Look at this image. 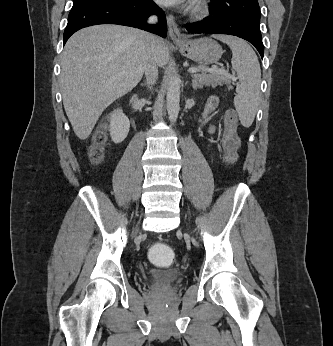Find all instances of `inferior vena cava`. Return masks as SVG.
<instances>
[{"instance_id":"602c4592","label":"inferior vena cava","mask_w":333,"mask_h":346,"mask_svg":"<svg viewBox=\"0 0 333 346\" xmlns=\"http://www.w3.org/2000/svg\"><path fill=\"white\" fill-rule=\"evenodd\" d=\"M149 23H156L157 22V18L155 16H151L148 19ZM148 38L150 40V46L149 49L146 53V57H145V63H144V73L146 75V80H147V84L148 86L153 85L156 80L158 79V70H157V63L155 60V56H154V39L155 37L148 34Z\"/></svg>"}]
</instances>
